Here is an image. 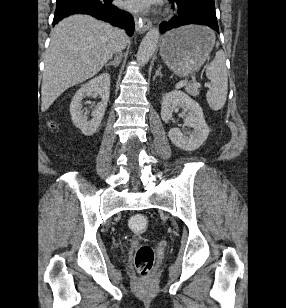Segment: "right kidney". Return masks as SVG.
Returning a JSON list of instances; mask_svg holds the SVG:
<instances>
[{
	"label": "right kidney",
	"mask_w": 286,
	"mask_h": 308,
	"mask_svg": "<svg viewBox=\"0 0 286 308\" xmlns=\"http://www.w3.org/2000/svg\"><path fill=\"white\" fill-rule=\"evenodd\" d=\"M93 93L99 94L102 101L94 111L92 119L88 120L83 116L82 100ZM109 95L110 75L103 73L82 85L73 96L70 104L72 122L85 136L93 135L99 128L109 101Z\"/></svg>",
	"instance_id": "1"
}]
</instances>
